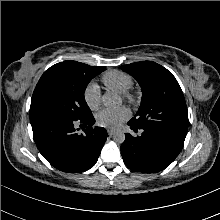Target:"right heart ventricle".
<instances>
[{"label": "right heart ventricle", "instance_id": "obj_1", "mask_svg": "<svg viewBox=\"0 0 220 220\" xmlns=\"http://www.w3.org/2000/svg\"><path fill=\"white\" fill-rule=\"evenodd\" d=\"M101 81L107 89L118 93L127 92L133 85L132 77L119 70H109L105 72L101 77Z\"/></svg>", "mask_w": 220, "mask_h": 220}]
</instances>
